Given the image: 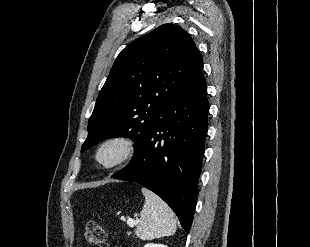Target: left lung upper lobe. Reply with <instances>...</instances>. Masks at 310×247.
Here are the masks:
<instances>
[{"label": "left lung upper lobe", "instance_id": "obj_1", "mask_svg": "<svg viewBox=\"0 0 310 247\" xmlns=\"http://www.w3.org/2000/svg\"><path fill=\"white\" fill-rule=\"evenodd\" d=\"M202 69L194 41L180 26L164 24L131 42L98 95L81 151L126 136L135 142V155L166 107Z\"/></svg>", "mask_w": 310, "mask_h": 247}]
</instances>
